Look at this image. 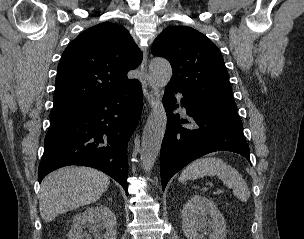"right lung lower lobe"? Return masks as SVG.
Instances as JSON below:
<instances>
[{
    "label": "right lung lower lobe",
    "mask_w": 304,
    "mask_h": 239,
    "mask_svg": "<svg viewBox=\"0 0 304 239\" xmlns=\"http://www.w3.org/2000/svg\"><path fill=\"white\" fill-rule=\"evenodd\" d=\"M142 88L138 80L76 111L51 117L39 165V182L63 166L99 169L128 194L127 144L140 118Z\"/></svg>",
    "instance_id": "obj_1"
}]
</instances>
